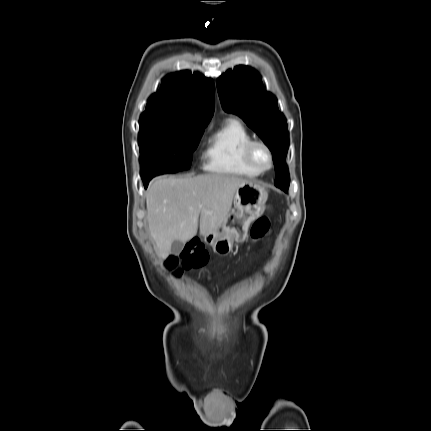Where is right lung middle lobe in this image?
<instances>
[{"label":"right lung middle lobe","mask_w":431,"mask_h":431,"mask_svg":"<svg viewBox=\"0 0 431 431\" xmlns=\"http://www.w3.org/2000/svg\"><path fill=\"white\" fill-rule=\"evenodd\" d=\"M203 126H191L161 120L139 121L141 177L186 170L204 132Z\"/></svg>","instance_id":"dd1d6c3e"}]
</instances>
